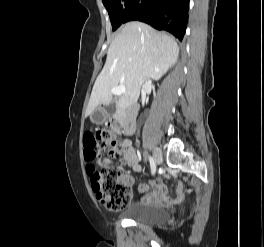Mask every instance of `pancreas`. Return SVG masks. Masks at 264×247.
Listing matches in <instances>:
<instances>
[{"label": "pancreas", "mask_w": 264, "mask_h": 247, "mask_svg": "<svg viewBox=\"0 0 264 247\" xmlns=\"http://www.w3.org/2000/svg\"><path fill=\"white\" fill-rule=\"evenodd\" d=\"M115 118L118 119V115H115Z\"/></svg>", "instance_id": "cf45deb5"}]
</instances>
